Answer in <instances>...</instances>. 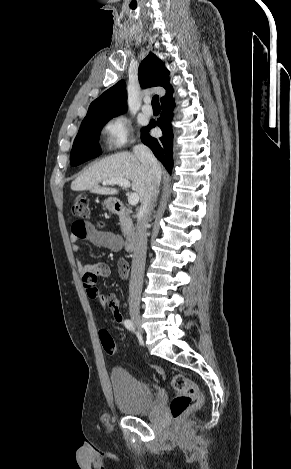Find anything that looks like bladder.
I'll list each match as a JSON object with an SVG mask.
<instances>
[{
	"label": "bladder",
	"mask_w": 291,
	"mask_h": 469,
	"mask_svg": "<svg viewBox=\"0 0 291 469\" xmlns=\"http://www.w3.org/2000/svg\"><path fill=\"white\" fill-rule=\"evenodd\" d=\"M110 382L117 409L125 415H139L153 406L154 393L150 385L134 377L126 369L115 367Z\"/></svg>",
	"instance_id": "1"
}]
</instances>
